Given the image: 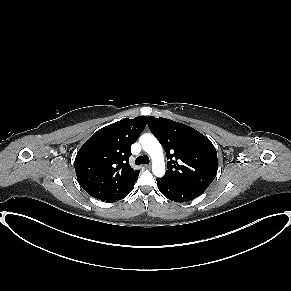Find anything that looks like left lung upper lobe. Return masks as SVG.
<instances>
[{"label":"left lung upper lobe","instance_id":"1","mask_svg":"<svg viewBox=\"0 0 291 291\" xmlns=\"http://www.w3.org/2000/svg\"><path fill=\"white\" fill-rule=\"evenodd\" d=\"M150 130L164 146L167 171L164 178L205 191L217 174V152L203 134L166 118L148 117Z\"/></svg>","mask_w":291,"mask_h":291}]
</instances>
